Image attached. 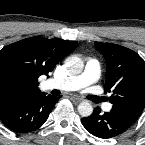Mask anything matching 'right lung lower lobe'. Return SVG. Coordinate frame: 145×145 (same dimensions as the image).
<instances>
[{
    "instance_id": "1",
    "label": "right lung lower lobe",
    "mask_w": 145,
    "mask_h": 145,
    "mask_svg": "<svg viewBox=\"0 0 145 145\" xmlns=\"http://www.w3.org/2000/svg\"><path fill=\"white\" fill-rule=\"evenodd\" d=\"M59 98L43 93L34 98L3 104L0 106V120L17 133L34 131L46 122Z\"/></svg>"
}]
</instances>
